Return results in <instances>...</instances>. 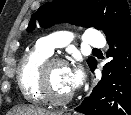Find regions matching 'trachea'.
Returning <instances> with one entry per match:
<instances>
[{
	"instance_id": "1",
	"label": "trachea",
	"mask_w": 131,
	"mask_h": 115,
	"mask_svg": "<svg viewBox=\"0 0 131 115\" xmlns=\"http://www.w3.org/2000/svg\"><path fill=\"white\" fill-rule=\"evenodd\" d=\"M93 50H96V51H98L99 49H97V48H94Z\"/></svg>"
}]
</instances>
